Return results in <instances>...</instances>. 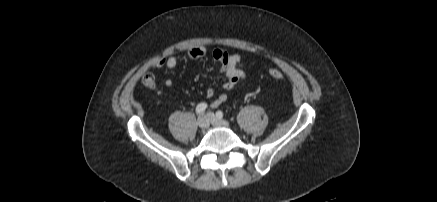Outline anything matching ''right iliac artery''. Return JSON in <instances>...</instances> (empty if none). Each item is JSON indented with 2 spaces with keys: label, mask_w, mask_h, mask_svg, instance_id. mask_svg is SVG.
Returning a JSON list of instances; mask_svg holds the SVG:
<instances>
[{
  "label": "right iliac artery",
  "mask_w": 437,
  "mask_h": 202,
  "mask_svg": "<svg viewBox=\"0 0 437 202\" xmlns=\"http://www.w3.org/2000/svg\"><path fill=\"white\" fill-rule=\"evenodd\" d=\"M207 108V104L206 103H199L196 107V113L197 114H201L203 113Z\"/></svg>",
  "instance_id": "82829eb1"
}]
</instances>
